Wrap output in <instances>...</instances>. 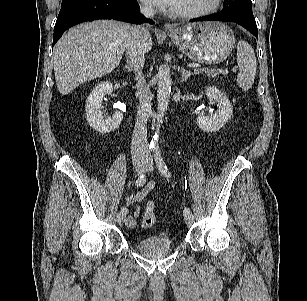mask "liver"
Listing matches in <instances>:
<instances>
[{"mask_svg":"<svg viewBox=\"0 0 307 301\" xmlns=\"http://www.w3.org/2000/svg\"><path fill=\"white\" fill-rule=\"evenodd\" d=\"M136 28L113 20H97L73 27L63 36L53 52L56 84L62 95L80 84L104 76L120 63ZM145 52L152 48L149 33L144 39Z\"/></svg>","mask_w":307,"mask_h":301,"instance_id":"1","label":"liver"}]
</instances>
